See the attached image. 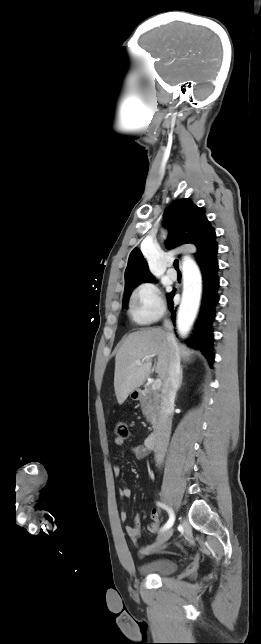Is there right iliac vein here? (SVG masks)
Wrapping results in <instances>:
<instances>
[{"label": "right iliac vein", "mask_w": 261, "mask_h": 644, "mask_svg": "<svg viewBox=\"0 0 261 644\" xmlns=\"http://www.w3.org/2000/svg\"><path fill=\"white\" fill-rule=\"evenodd\" d=\"M172 534H173V530L168 529V530L162 532L161 534H159V536L157 537V540L160 541V542H165L172 536Z\"/></svg>", "instance_id": "obj_1"}]
</instances>
